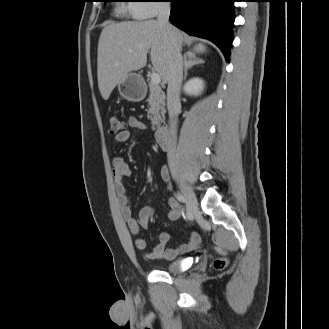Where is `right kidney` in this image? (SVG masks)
I'll return each instance as SVG.
<instances>
[{"label": "right kidney", "mask_w": 329, "mask_h": 329, "mask_svg": "<svg viewBox=\"0 0 329 329\" xmlns=\"http://www.w3.org/2000/svg\"><path fill=\"white\" fill-rule=\"evenodd\" d=\"M183 90L188 95L198 96L204 90V81L198 77L191 78L185 83Z\"/></svg>", "instance_id": "1"}]
</instances>
